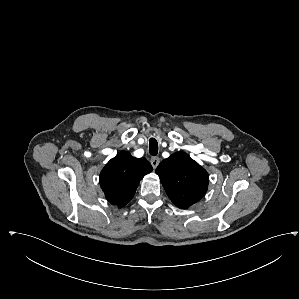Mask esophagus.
I'll return each mask as SVG.
<instances>
[{
  "mask_svg": "<svg viewBox=\"0 0 299 299\" xmlns=\"http://www.w3.org/2000/svg\"><path fill=\"white\" fill-rule=\"evenodd\" d=\"M150 163L153 166V168H156L160 163V158L159 157H152L151 160H150Z\"/></svg>",
  "mask_w": 299,
  "mask_h": 299,
  "instance_id": "1",
  "label": "esophagus"
}]
</instances>
